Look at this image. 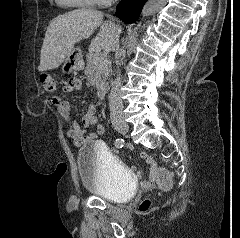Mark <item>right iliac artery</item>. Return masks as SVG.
Returning a JSON list of instances; mask_svg holds the SVG:
<instances>
[{"mask_svg": "<svg viewBox=\"0 0 240 238\" xmlns=\"http://www.w3.org/2000/svg\"><path fill=\"white\" fill-rule=\"evenodd\" d=\"M123 145H124V140H123V139H120V138L116 139V141H115V146H116L117 148H122Z\"/></svg>", "mask_w": 240, "mask_h": 238, "instance_id": "82829eb1", "label": "right iliac artery"}]
</instances>
